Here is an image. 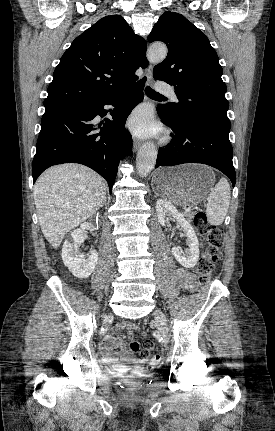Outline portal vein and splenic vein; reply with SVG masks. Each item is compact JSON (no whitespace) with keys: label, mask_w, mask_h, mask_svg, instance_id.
I'll return each instance as SVG.
<instances>
[{"label":"portal vein and splenic vein","mask_w":275,"mask_h":431,"mask_svg":"<svg viewBox=\"0 0 275 431\" xmlns=\"http://www.w3.org/2000/svg\"><path fill=\"white\" fill-rule=\"evenodd\" d=\"M184 214H188L190 211V207H184Z\"/></svg>","instance_id":"18ae733b"}]
</instances>
